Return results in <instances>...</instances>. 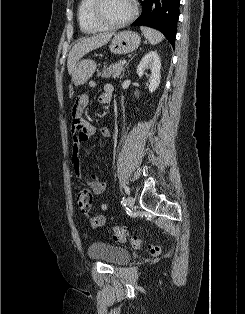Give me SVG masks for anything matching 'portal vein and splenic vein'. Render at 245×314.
Here are the masks:
<instances>
[{"label":"portal vein and splenic vein","instance_id":"obj_1","mask_svg":"<svg viewBox=\"0 0 245 314\" xmlns=\"http://www.w3.org/2000/svg\"><path fill=\"white\" fill-rule=\"evenodd\" d=\"M124 64H126V60L125 59L122 60V65H124Z\"/></svg>","mask_w":245,"mask_h":314}]
</instances>
